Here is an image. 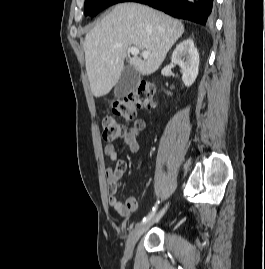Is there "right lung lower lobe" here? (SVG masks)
I'll return each instance as SVG.
<instances>
[{"label":"right lung lower lobe","mask_w":265,"mask_h":269,"mask_svg":"<svg viewBox=\"0 0 265 269\" xmlns=\"http://www.w3.org/2000/svg\"><path fill=\"white\" fill-rule=\"evenodd\" d=\"M149 5L181 19L204 25L211 14L213 0H127Z\"/></svg>","instance_id":"right-lung-lower-lobe-1"}]
</instances>
